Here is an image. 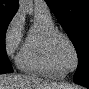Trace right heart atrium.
Instances as JSON below:
<instances>
[{
  "label": "right heart atrium",
  "instance_id": "1",
  "mask_svg": "<svg viewBox=\"0 0 89 89\" xmlns=\"http://www.w3.org/2000/svg\"><path fill=\"white\" fill-rule=\"evenodd\" d=\"M23 29L24 18L20 13H18L10 21L5 33V50L9 56L15 55L19 50L23 39Z\"/></svg>",
  "mask_w": 89,
  "mask_h": 89
}]
</instances>
